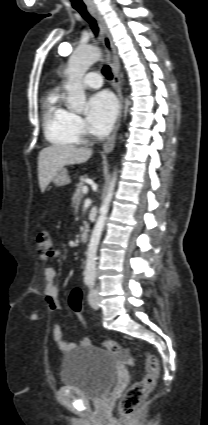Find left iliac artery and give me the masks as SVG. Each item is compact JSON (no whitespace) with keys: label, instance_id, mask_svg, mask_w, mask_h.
Returning <instances> with one entry per match:
<instances>
[{"label":"left iliac artery","instance_id":"left-iliac-artery-1","mask_svg":"<svg viewBox=\"0 0 208 425\" xmlns=\"http://www.w3.org/2000/svg\"><path fill=\"white\" fill-rule=\"evenodd\" d=\"M88 285H89V287H93V285H94V281H93V280H91V281H90V283H89Z\"/></svg>","mask_w":208,"mask_h":425}]
</instances>
